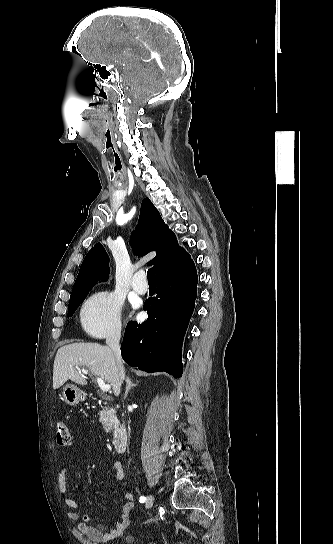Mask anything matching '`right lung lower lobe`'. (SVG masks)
<instances>
[{"mask_svg": "<svg viewBox=\"0 0 333 544\" xmlns=\"http://www.w3.org/2000/svg\"><path fill=\"white\" fill-rule=\"evenodd\" d=\"M197 293L193 261L157 277L156 296L146 300L148 319L127 324L121 345L124 361L148 373L183 372L181 347Z\"/></svg>", "mask_w": 333, "mask_h": 544, "instance_id": "1", "label": "right lung lower lobe"}]
</instances>
